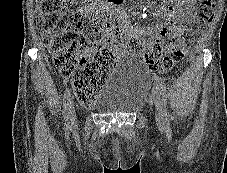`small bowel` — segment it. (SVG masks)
<instances>
[{
    "label": "small bowel",
    "instance_id": "small-bowel-1",
    "mask_svg": "<svg viewBox=\"0 0 227 173\" xmlns=\"http://www.w3.org/2000/svg\"><path fill=\"white\" fill-rule=\"evenodd\" d=\"M171 5H162L156 15L165 19V23L156 28H142L132 24L125 15H118L119 24L117 40L113 46V53L120 57L134 55L129 49V41L134 38L142 39L147 34H156L167 38V47L174 45L184 31V23L193 22L197 0H166ZM123 0H119V5Z\"/></svg>",
    "mask_w": 227,
    "mask_h": 173
}]
</instances>
